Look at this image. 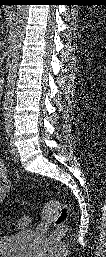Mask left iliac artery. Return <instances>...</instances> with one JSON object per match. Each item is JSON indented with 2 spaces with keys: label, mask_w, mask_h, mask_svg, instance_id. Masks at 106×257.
I'll return each instance as SVG.
<instances>
[{
  "label": "left iliac artery",
  "mask_w": 106,
  "mask_h": 257,
  "mask_svg": "<svg viewBox=\"0 0 106 257\" xmlns=\"http://www.w3.org/2000/svg\"><path fill=\"white\" fill-rule=\"evenodd\" d=\"M6 133H7V136H8V137L11 136V130H10V129H6Z\"/></svg>",
  "instance_id": "left-iliac-artery-1"
}]
</instances>
